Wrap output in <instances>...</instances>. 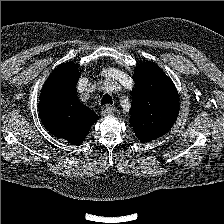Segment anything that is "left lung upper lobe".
Returning a JSON list of instances; mask_svg holds the SVG:
<instances>
[{"instance_id": "1", "label": "left lung upper lobe", "mask_w": 224, "mask_h": 224, "mask_svg": "<svg viewBox=\"0 0 224 224\" xmlns=\"http://www.w3.org/2000/svg\"><path fill=\"white\" fill-rule=\"evenodd\" d=\"M137 78L132 92L131 124L141 142L164 135L173 126L179 110L177 89L172 80L149 62L135 68Z\"/></svg>"}]
</instances>
